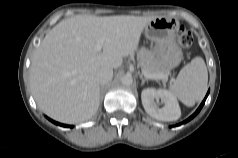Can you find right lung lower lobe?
Here are the masks:
<instances>
[{
	"label": "right lung lower lobe",
	"mask_w": 238,
	"mask_h": 158,
	"mask_svg": "<svg viewBox=\"0 0 238 158\" xmlns=\"http://www.w3.org/2000/svg\"><path fill=\"white\" fill-rule=\"evenodd\" d=\"M49 120L52 121L53 123L57 124V125H60V126H65V127H70V128L73 127V126H68V125H64V124L57 123V122H55V121H53V120H51V119H49Z\"/></svg>",
	"instance_id": "1"
}]
</instances>
